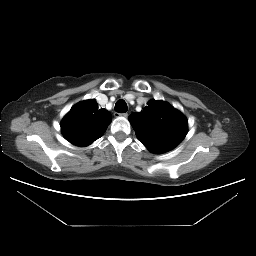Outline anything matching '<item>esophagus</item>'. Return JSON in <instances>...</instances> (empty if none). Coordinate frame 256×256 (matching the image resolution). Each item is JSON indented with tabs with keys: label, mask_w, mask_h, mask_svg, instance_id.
Listing matches in <instances>:
<instances>
[{
	"label": "esophagus",
	"mask_w": 256,
	"mask_h": 256,
	"mask_svg": "<svg viewBox=\"0 0 256 256\" xmlns=\"http://www.w3.org/2000/svg\"><path fill=\"white\" fill-rule=\"evenodd\" d=\"M116 114H118V113H116ZM119 116H123V117H128V113H122V114H118Z\"/></svg>",
	"instance_id": "1"
}]
</instances>
